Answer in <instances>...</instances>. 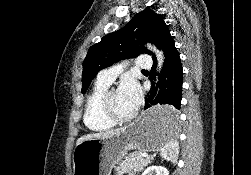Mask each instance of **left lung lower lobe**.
<instances>
[{
    "label": "left lung lower lobe",
    "mask_w": 251,
    "mask_h": 175,
    "mask_svg": "<svg viewBox=\"0 0 251 175\" xmlns=\"http://www.w3.org/2000/svg\"><path fill=\"white\" fill-rule=\"evenodd\" d=\"M165 60L159 82L148 94L144 109L148 112L143 118L145 124L150 126H168L177 123L180 119L181 93H182V65L174 40L167 33L161 43ZM154 65L150 79H154L156 57L152 55ZM154 87V83H152Z\"/></svg>",
    "instance_id": "1"
}]
</instances>
